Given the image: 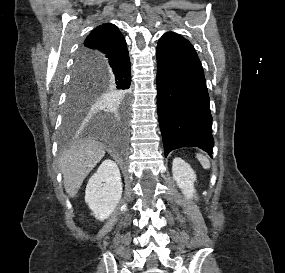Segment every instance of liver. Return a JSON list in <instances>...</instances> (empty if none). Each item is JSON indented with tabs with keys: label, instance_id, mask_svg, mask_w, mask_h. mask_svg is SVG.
Returning <instances> with one entry per match:
<instances>
[{
	"label": "liver",
	"instance_id": "6515ba94",
	"mask_svg": "<svg viewBox=\"0 0 285 273\" xmlns=\"http://www.w3.org/2000/svg\"><path fill=\"white\" fill-rule=\"evenodd\" d=\"M105 155L102 144L86 140L64 151L59 160L65 191L74 197L86 176Z\"/></svg>",
	"mask_w": 285,
	"mask_h": 273
}]
</instances>
